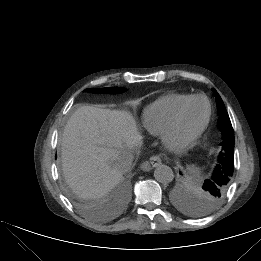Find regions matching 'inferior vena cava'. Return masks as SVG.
<instances>
[{
  "label": "inferior vena cava",
  "mask_w": 261,
  "mask_h": 261,
  "mask_svg": "<svg viewBox=\"0 0 261 261\" xmlns=\"http://www.w3.org/2000/svg\"><path fill=\"white\" fill-rule=\"evenodd\" d=\"M133 153L132 152H125L117 159V167L122 173L128 172L133 164Z\"/></svg>",
  "instance_id": "obj_1"
}]
</instances>
